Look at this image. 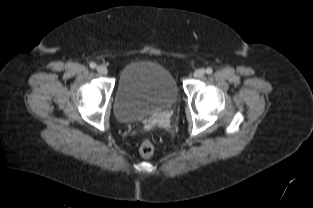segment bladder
<instances>
[{
    "label": "bladder",
    "mask_w": 313,
    "mask_h": 208,
    "mask_svg": "<svg viewBox=\"0 0 313 208\" xmlns=\"http://www.w3.org/2000/svg\"><path fill=\"white\" fill-rule=\"evenodd\" d=\"M173 73L152 61L132 62L120 71L114 99V111L122 122H134L154 115L178 98Z\"/></svg>",
    "instance_id": "bladder-1"
}]
</instances>
